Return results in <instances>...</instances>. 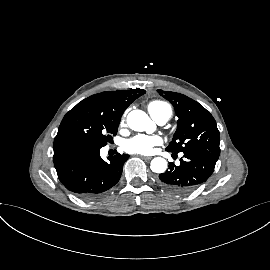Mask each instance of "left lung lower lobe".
<instances>
[{
    "label": "left lung lower lobe",
    "instance_id": "obj_1",
    "mask_svg": "<svg viewBox=\"0 0 270 270\" xmlns=\"http://www.w3.org/2000/svg\"><path fill=\"white\" fill-rule=\"evenodd\" d=\"M180 165L169 163V169L159 175L162 187L174 193H188L203 184L213 173L218 159L197 152H184Z\"/></svg>",
    "mask_w": 270,
    "mask_h": 270
}]
</instances>
